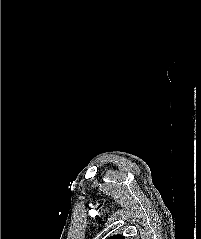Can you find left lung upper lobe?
Wrapping results in <instances>:
<instances>
[{"label":"left lung upper lobe","mask_w":201,"mask_h":239,"mask_svg":"<svg viewBox=\"0 0 201 239\" xmlns=\"http://www.w3.org/2000/svg\"><path fill=\"white\" fill-rule=\"evenodd\" d=\"M107 239H125V238L122 235H114V236L108 237Z\"/></svg>","instance_id":"left-lung-upper-lobe-1"}]
</instances>
